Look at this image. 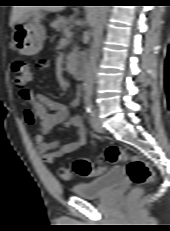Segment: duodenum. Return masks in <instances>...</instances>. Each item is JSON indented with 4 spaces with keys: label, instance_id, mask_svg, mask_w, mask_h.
<instances>
[{
    "label": "duodenum",
    "instance_id": "duodenum-1",
    "mask_svg": "<svg viewBox=\"0 0 170 231\" xmlns=\"http://www.w3.org/2000/svg\"><path fill=\"white\" fill-rule=\"evenodd\" d=\"M67 65L69 66V68L71 69V71L74 73V75L76 76V78H78L79 80H83L84 76H85V63L83 60L78 59H72L68 62H66Z\"/></svg>",
    "mask_w": 170,
    "mask_h": 231
}]
</instances>
